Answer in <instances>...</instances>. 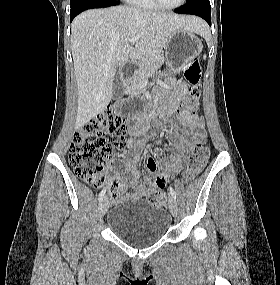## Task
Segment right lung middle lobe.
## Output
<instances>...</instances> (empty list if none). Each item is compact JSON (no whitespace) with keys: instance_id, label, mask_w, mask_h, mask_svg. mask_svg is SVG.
Returning a JSON list of instances; mask_svg holds the SVG:
<instances>
[{"instance_id":"1","label":"right lung middle lobe","mask_w":280,"mask_h":285,"mask_svg":"<svg viewBox=\"0 0 280 285\" xmlns=\"http://www.w3.org/2000/svg\"><path fill=\"white\" fill-rule=\"evenodd\" d=\"M85 1V0H70L71 7L76 6L80 2ZM106 1H112V0H106Z\"/></svg>"}]
</instances>
